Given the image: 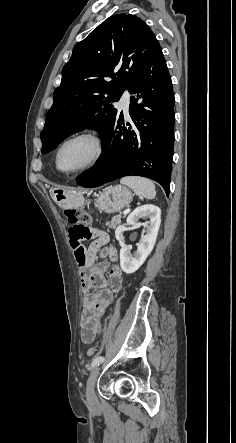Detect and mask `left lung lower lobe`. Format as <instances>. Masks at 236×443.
Segmentation results:
<instances>
[{"mask_svg": "<svg viewBox=\"0 0 236 443\" xmlns=\"http://www.w3.org/2000/svg\"><path fill=\"white\" fill-rule=\"evenodd\" d=\"M128 91L132 123L123 113L102 135L104 151L97 165L83 172L78 184L92 188L130 175L160 183L169 195L174 144V94L172 81L157 43ZM119 129V130H118Z\"/></svg>", "mask_w": 236, "mask_h": 443, "instance_id": "1", "label": "left lung lower lobe"}]
</instances>
